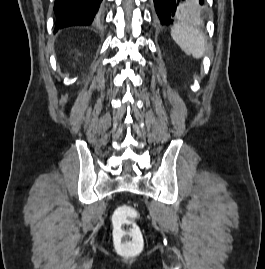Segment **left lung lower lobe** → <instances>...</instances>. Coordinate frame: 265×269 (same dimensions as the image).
Returning a JSON list of instances; mask_svg holds the SVG:
<instances>
[{"instance_id":"1","label":"left lung lower lobe","mask_w":265,"mask_h":269,"mask_svg":"<svg viewBox=\"0 0 265 269\" xmlns=\"http://www.w3.org/2000/svg\"><path fill=\"white\" fill-rule=\"evenodd\" d=\"M161 25L177 20L199 19L206 14L205 0H153Z\"/></svg>"}]
</instances>
